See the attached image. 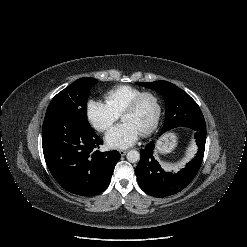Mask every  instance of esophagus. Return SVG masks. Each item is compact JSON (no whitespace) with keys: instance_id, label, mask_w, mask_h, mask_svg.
<instances>
[{"instance_id":"esophagus-1","label":"esophagus","mask_w":247,"mask_h":247,"mask_svg":"<svg viewBox=\"0 0 247 247\" xmlns=\"http://www.w3.org/2000/svg\"><path fill=\"white\" fill-rule=\"evenodd\" d=\"M119 153L121 156H124L127 153V151L126 150H120Z\"/></svg>"}]
</instances>
